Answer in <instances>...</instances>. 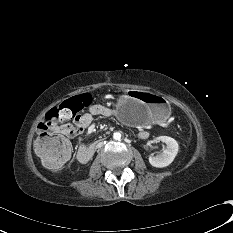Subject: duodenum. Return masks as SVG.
<instances>
[{"label":"duodenum","mask_w":233,"mask_h":233,"mask_svg":"<svg viewBox=\"0 0 233 233\" xmlns=\"http://www.w3.org/2000/svg\"><path fill=\"white\" fill-rule=\"evenodd\" d=\"M97 148H98V143H95L91 146H81L77 152L78 160L82 163L89 162V160L96 152Z\"/></svg>","instance_id":"410a0bca"}]
</instances>
